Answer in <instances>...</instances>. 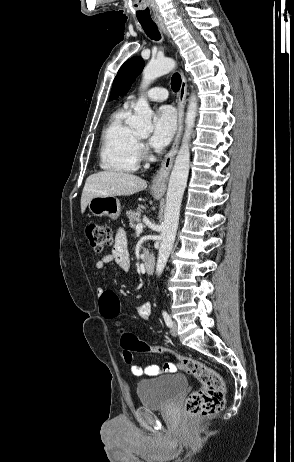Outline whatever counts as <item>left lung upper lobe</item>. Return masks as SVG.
Instances as JSON below:
<instances>
[{"label": "left lung upper lobe", "instance_id": "1", "mask_svg": "<svg viewBox=\"0 0 294 462\" xmlns=\"http://www.w3.org/2000/svg\"><path fill=\"white\" fill-rule=\"evenodd\" d=\"M143 68L144 61L140 57L136 56L126 61L114 79L110 100L116 99L118 96L126 94L130 89L131 84L141 73Z\"/></svg>", "mask_w": 294, "mask_h": 462}]
</instances>
